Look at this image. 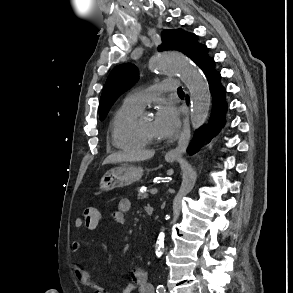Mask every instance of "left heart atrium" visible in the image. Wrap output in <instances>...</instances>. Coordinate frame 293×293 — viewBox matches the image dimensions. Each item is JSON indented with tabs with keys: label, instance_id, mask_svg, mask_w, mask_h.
Segmentation results:
<instances>
[{
	"label": "left heart atrium",
	"instance_id": "39dd6f15",
	"mask_svg": "<svg viewBox=\"0 0 293 293\" xmlns=\"http://www.w3.org/2000/svg\"><path fill=\"white\" fill-rule=\"evenodd\" d=\"M179 112L171 104H164L156 114L155 126L161 138L174 136L179 128Z\"/></svg>",
	"mask_w": 293,
	"mask_h": 293
}]
</instances>
